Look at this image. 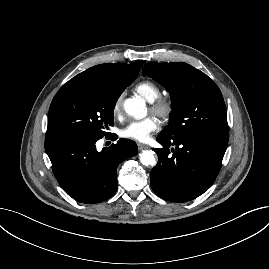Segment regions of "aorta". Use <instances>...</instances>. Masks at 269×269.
Listing matches in <instances>:
<instances>
[{
    "mask_svg": "<svg viewBox=\"0 0 269 269\" xmlns=\"http://www.w3.org/2000/svg\"><path fill=\"white\" fill-rule=\"evenodd\" d=\"M124 110L136 119H142L147 115L145 100L140 97L126 99ZM140 162L144 166H155L157 163L155 153L151 150H144L139 155Z\"/></svg>",
    "mask_w": 269,
    "mask_h": 269,
    "instance_id": "1",
    "label": "aorta"
}]
</instances>
